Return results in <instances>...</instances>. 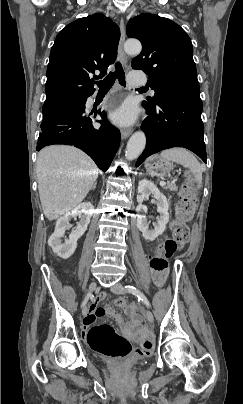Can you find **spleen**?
<instances>
[{
    "label": "spleen",
    "mask_w": 243,
    "mask_h": 404,
    "mask_svg": "<svg viewBox=\"0 0 243 404\" xmlns=\"http://www.w3.org/2000/svg\"><path fill=\"white\" fill-rule=\"evenodd\" d=\"M161 158H163V160H171V162H176V164H181L184 168H189L190 172H193L194 176H196L198 190L201 188V166L195 156L190 154V152H187L185 148H171V150H164V152H161Z\"/></svg>",
    "instance_id": "spleen-1"
}]
</instances>
